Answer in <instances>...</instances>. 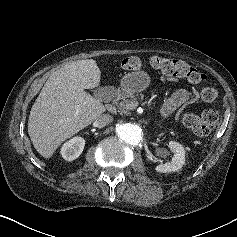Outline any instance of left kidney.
Masks as SVG:
<instances>
[{
  "label": "left kidney",
  "mask_w": 237,
  "mask_h": 237,
  "mask_svg": "<svg viewBox=\"0 0 237 237\" xmlns=\"http://www.w3.org/2000/svg\"><path fill=\"white\" fill-rule=\"evenodd\" d=\"M169 147L173 150L174 156L172 157V160L170 162L156 166L155 170L157 172H175L181 169L185 164V149L183 148V146L178 142L170 141Z\"/></svg>",
  "instance_id": "left-kidney-1"
}]
</instances>
